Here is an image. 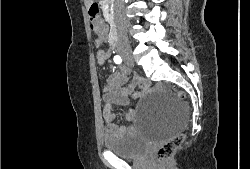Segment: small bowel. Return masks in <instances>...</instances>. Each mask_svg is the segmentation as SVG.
Listing matches in <instances>:
<instances>
[{
  "instance_id": "obj_1",
  "label": "small bowel",
  "mask_w": 250,
  "mask_h": 169,
  "mask_svg": "<svg viewBox=\"0 0 250 169\" xmlns=\"http://www.w3.org/2000/svg\"><path fill=\"white\" fill-rule=\"evenodd\" d=\"M97 35L98 37L95 40V43L100 46L106 41L104 28L100 33H97ZM108 56L109 53L99 50L97 53V62L103 64ZM149 86L150 83L148 79L138 75H134L131 78L130 73L126 70H120L107 78L104 93V100L106 103L104 118L106 123V133L108 135L114 133H132L136 130V111L134 108L128 109L125 113V118L129 124L117 126L114 123L115 113L112 111V107L114 105L126 106L131 99H140Z\"/></svg>"
}]
</instances>
